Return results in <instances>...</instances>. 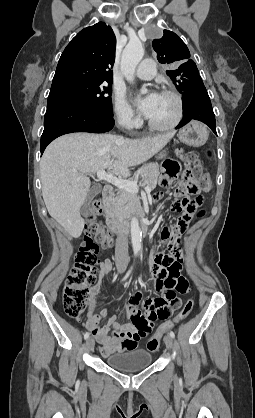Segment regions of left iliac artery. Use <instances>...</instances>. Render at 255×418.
Segmentation results:
<instances>
[{"mask_svg": "<svg viewBox=\"0 0 255 418\" xmlns=\"http://www.w3.org/2000/svg\"><path fill=\"white\" fill-rule=\"evenodd\" d=\"M169 335H170L172 338H174V337H175V334H174V332H173V331H170Z\"/></svg>", "mask_w": 255, "mask_h": 418, "instance_id": "left-iliac-artery-1", "label": "left iliac artery"}]
</instances>
